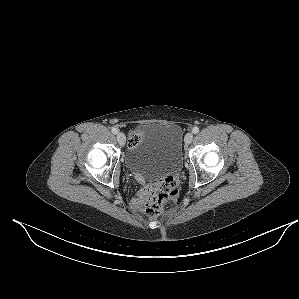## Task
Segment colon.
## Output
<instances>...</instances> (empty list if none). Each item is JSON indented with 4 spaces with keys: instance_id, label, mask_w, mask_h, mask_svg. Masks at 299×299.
<instances>
[{
    "instance_id": "1",
    "label": "colon",
    "mask_w": 299,
    "mask_h": 299,
    "mask_svg": "<svg viewBox=\"0 0 299 299\" xmlns=\"http://www.w3.org/2000/svg\"><path fill=\"white\" fill-rule=\"evenodd\" d=\"M138 141L136 132L129 135V144L135 145ZM179 180L174 175L166 176L158 183L152 186L149 201L147 202V213L150 216L159 215L165 206L172 203L178 194Z\"/></svg>"
}]
</instances>
